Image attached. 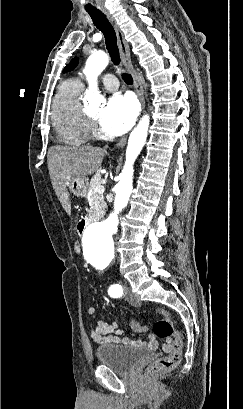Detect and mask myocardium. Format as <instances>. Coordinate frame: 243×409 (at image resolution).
Here are the masks:
<instances>
[{"label": "myocardium", "instance_id": "f54148a6", "mask_svg": "<svg viewBox=\"0 0 243 409\" xmlns=\"http://www.w3.org/2000/svg\"><path fill=\"white\" fill-rule=\"evenodd\" d=\"M87 119L89 121L90 124H94L95 123V118L93 116H91L90 114L86 113Z\"/></svg>", "mask_w": 243, "mask_h": 409}]
</instances>
